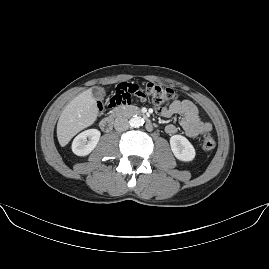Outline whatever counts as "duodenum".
Masks as SVG:
<instances>
[{"mask_svg": "<svg viewBox=\"0 0 269 269\" xmlns=\"http://www.w3.org/2000/svg\"><path fill=\"white\" fill-rule=\"evenodd\" d=\"M134 115L140 116L145 119V127L147 130L151 131L154 129V124L150 119L147 118L146 113L141 111L139 108L133 106L116 108L101 120L100 127L103 131L108 132L113 128L114 123L118 118L122 116Z\"/></svg>", "mask_w": 269, "mask_h": 269, "instance_id": "410a0bca", "label": "duodenum"}]
</instances>
